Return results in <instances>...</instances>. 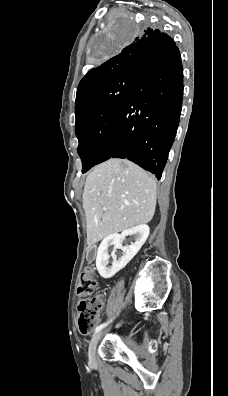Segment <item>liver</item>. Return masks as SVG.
<instances>
[{
  "label": "liver",
  "mask_w": 228,
  "mask_h": 396,
  "mask_svg": "<svg viewBox=\"0 0 228 396\" xmlns=\"http://www.w3.org/2000/svg\"><path fill=\"white\" fill-rule=\"evenodd\" d=\"M82 198L91 247L108 235L150 222L156 182L133 162L112 158L93 168Z\"/></svg>",
  "instance_id": "1"
}]
</instances>
